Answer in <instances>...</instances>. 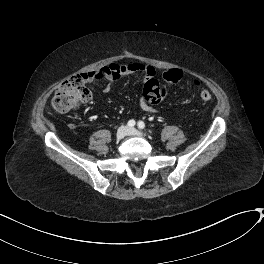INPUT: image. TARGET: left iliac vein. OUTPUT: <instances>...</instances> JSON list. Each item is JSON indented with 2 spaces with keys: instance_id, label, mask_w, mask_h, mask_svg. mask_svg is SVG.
I'll return each instance as SVG.
<instances>
[{
  "instance_id": "4c4485c4",
  "label": "left iliac vein",
  "mask_w": 264,
  "mask_h": 264,
  "mask_svg": "<svg viewBox=\"0 0 264 264\" xmlns=\"http://www.w3.org/2000/svg\"><path fill=\"white\" fill-rule=\"evenodd\" d=\"M128 134L132 136H143V133L135 128H130Z\"/></svg>"
}]
</instances>
